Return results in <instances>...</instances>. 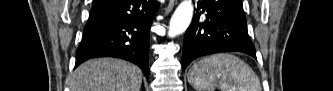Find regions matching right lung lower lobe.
Returning <instances> with one entry per match:
<instances>
[{"label": "right lung lower lobe", "instance_id": "obj_1", "mask_svg": "<svg viewBox=\"0 0 333 91\" xmlns=\"http://www.w3.org/2000/svg\"><path fill=\"white\" fill-rule=\"evenodd\" d=\"M156 0L96 1L83 30L76 64L96 57H117L149 75V33L158 10Z\"/></svg>", "mask_w": 333, "mask_h": 91}]
</instances>
